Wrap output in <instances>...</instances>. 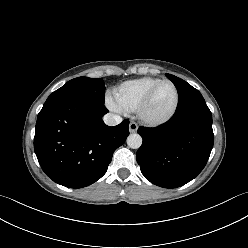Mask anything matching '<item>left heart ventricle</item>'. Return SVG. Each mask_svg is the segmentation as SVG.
<instances>
[{
    "label": "left heart ventricle",
    "instance_id": "b2bd125f",
    "mask_svg": "<svg viewBox=\"0 0 248 248\" xmlns=\"http://www.w3.org/2000/svg\"><path fill=\"white\" fill-rule=\"evenodd\" d=\"M175 92L171 85H161L150 99L145 114L153 119L162 118L167 115L173 107Z\"/></svg>",
    "mask_w": 248,
    "mask_h": 248
}]
</instances>
